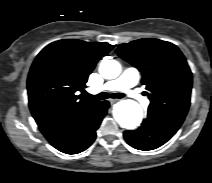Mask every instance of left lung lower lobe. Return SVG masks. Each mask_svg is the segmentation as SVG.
<instances>
[{
	"label": "left lung lower lobe",
	"mask_w": 212,
	"mask_h": 183,
	"mask_svg": "<svg viewBox=\"0 0 212 183\" xmlns=\"http://www.w3.org/2000/svg\"><path fill=\"white\" fill-rule=\"evenodd\" d=\"M183 116L148 108L147 118L141 127L125 131L124 138L139 150H153L166 143L180 128Z\"/></svg>",
	"instance_id": "obj_1"
}]
</instances>
